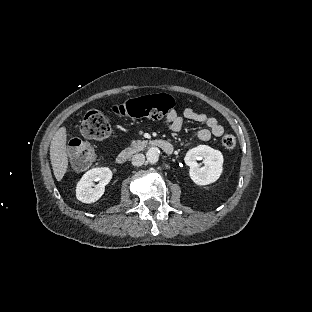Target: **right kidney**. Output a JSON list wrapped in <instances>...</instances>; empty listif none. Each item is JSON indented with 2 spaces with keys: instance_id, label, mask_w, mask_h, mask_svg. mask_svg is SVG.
I'll list each match as a JSON object with an SVG mask.
<instances>
[{
  "instance_id": "obj_1",
  "label": "right kidney",
  "mask_w": 312,
  "mask_h": 312,
  "mask_svg": "<svg viewBox=\"0 0 312 312\" xmlns=\"http://www.w3.org/2000/svg\"><path fill=\"white\" fill-rule=\"evenodd\" d=\"M112 179V171L108 167H96L87 171L76 187V197L83 203H93L104 193L105 186ZM99 182L95 184L94 182Z\"/></svg>"
}]
</instances>
